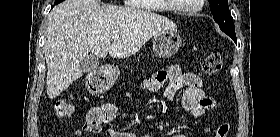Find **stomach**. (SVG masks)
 <instances>
[{"instance_id":"1","label":"stomach","mask_w":280,"mask_h":137,"mask_svg":"<svg viewBox=\"0 0 280 137\" xmlns=\"http://www.w3.org/2000/svg\"><path fill=\"white\" fill-rule=\"evenodd\" d=\"M182 45L180 36L170 30L162 31L153 38V52L159 58H169L175 55ZM119 71L117 68L108 67L104 73L105 85L100 87L98 83L88 81L86 83L88 89L93 93H100L111 87L117 80Z\"/></svg>"}]
</instances>
